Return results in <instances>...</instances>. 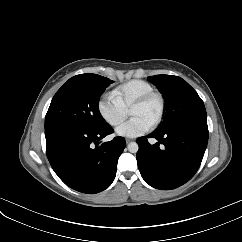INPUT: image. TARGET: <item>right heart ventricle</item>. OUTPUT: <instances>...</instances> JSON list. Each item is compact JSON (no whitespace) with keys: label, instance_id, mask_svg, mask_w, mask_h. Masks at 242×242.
<instances>
[{"label":"right heart ventricle","instance_id":"e07e8e85","mask_svg":"<svg viewBox=\"0 0 242 242\" xmlns=\"http://www.w3.org/2000/svg\"><path fill=\"white\" fill-rule=\"evenodd\" d=\"M154 91L153 86L144 80H131L113 91V96L127 110L141 96Z\"/></svg>","mask_w":242,"mask_h":242}]
</instances>
